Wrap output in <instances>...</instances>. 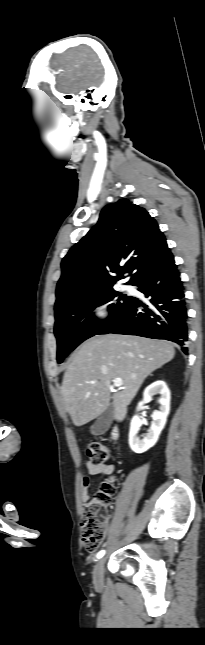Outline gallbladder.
I'll list each match as a JSON object with an SVG mask.
<instances>
[{
	"mask_svg": "<svg viewBox=\"0 0 205 645\" xmlns=\"http://www.w3.org/2000/svg\"><path fill=\"white\" fill-rule=\"evenodd\" d=\"M114 408L112 403L104 410V412L97 418L94 424L90 427V433L98 436L104 434L110 427L113 419Z\"/></svg>",
	"mask_w": 205,
	"mask_h": 645,
	"instance_id": "1",
	"label": "gallbladder"
}]
</instances>
